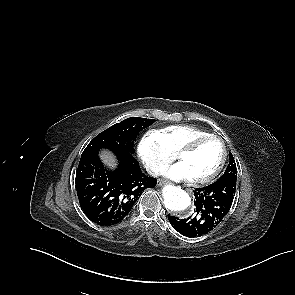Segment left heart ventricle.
Returning <instances> with one entry per match:
<instances>
[{
    "mask_svg": "<svg viewBox=\"0 0 295 295\" xmlns=\"http://www.w3.org/2000/svg\"><path fill=\"white\" fill-rule=\"evenodd\" d=\"M221 158V145L215 139L201 142L195 150L180 158L192 178H201L210 174Z\"/></svg>",
    "mask_w": 295,
    "mask_h": 295,
    "instance_id": "left-heart-ventricle-1",
    "label": "left heart ventricle"
}]
</instances>
